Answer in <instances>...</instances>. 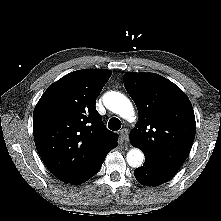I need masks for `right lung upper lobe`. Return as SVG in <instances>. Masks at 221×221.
Here are the masks:
<instances>
[{
	"label": "right lung upper lobe",
	"mask_w": 221,
	"mask_h": 221,
	"mask_svg": "<svg viewBox=\"0 0 221 221\" xmlns=\"http://www.w3.org/2000/svg\"><path fill=\"white\" fill-rule=\"evenodd\" d=\"M105 69L71 72L52 84L33 113L34 141L50 172L72 183L115 148L96 111V98L111 77Z\"/></svg>",
	"instance_id": "1"
}]
</instances>
